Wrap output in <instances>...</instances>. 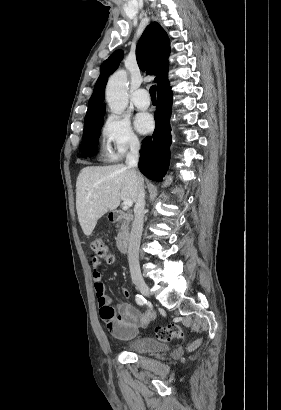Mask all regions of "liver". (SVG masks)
<instances>
[{"instance_id": "liver-1", "label": "liver", "mask_w": 281, "mask_h": 410, "mask_svg": "<svg viewBox=\"0 0 281 410\" xmlns=\"http://www.w3.org/2000/svg\"><path fill=\"white\" fill-rule=\"evenodd\" d=\"M137 196L138 176L127 166L84 167L76 182V209L84 234L89 236L97 221L116 209L121 200L136 202Z\"/></svg>"}]
</instances>
